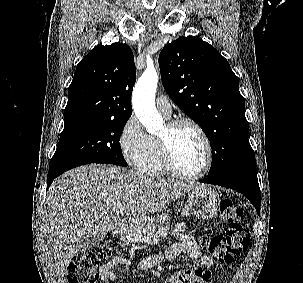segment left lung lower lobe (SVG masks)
I'll use <instances>...</instances> for the list:
<instances>
[{"label":"left lung lower lobe","instance_id":"0a47b994","mask_svg":"<svg viewBox=\"0 0 303 283\" xmlns=\"http://www.w3.org/2000/svg\"><path fill=\"white\" fill-rule=\"evenodd\" d=\"M201 183L219 185L236 190L246 196L260 214V188L258 184L256 165L250 166L226 175L207 177Z\"/></svg>","mask_w":303,"mask_h":283}]
</instances>
